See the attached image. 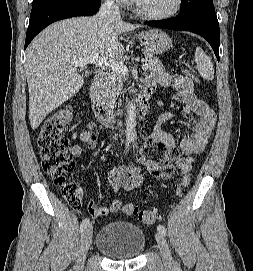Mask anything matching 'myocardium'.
Segmentation results:
<instances>
[{
  "label": "myocardium",
  "mask_w": 253,
  "mask_h": 271,
  "mask_svg": "<svg viewBox=\"0 0 253 271\" xmlns=\"http://www.w3.org/2000/svg\"><path fill=\"white\" fill-rule=\"evenodd\" d=\"M132 1L134 5V11L138 16L144 19L153 20V21H163V20H168V19L173 18L181 11V8L183 5V0H175V5L173 9L170 10L169 12L164 13V14H151V13L145 12L141 8L138 0H132Z\"/></svg>",
  "instance_id": "f54148a6"
}]
</instances>
